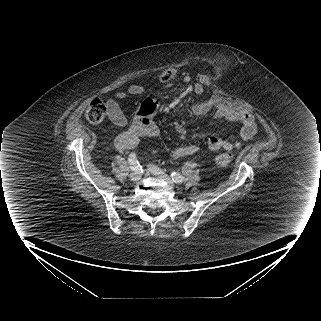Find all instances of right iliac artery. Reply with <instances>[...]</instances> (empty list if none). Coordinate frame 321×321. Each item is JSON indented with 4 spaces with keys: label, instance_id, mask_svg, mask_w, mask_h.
I'll return each mask as SVG.
<instances>
[{
    "label": "right iliac artery",
    "instance_id": "82829eb1",
    "mask_svg": "<svg viewBox=\"0 0 321 321\" xmlns=\"http://www.w3.org/2000/svg\"><path fill=\"white\" fill-rule=\"evenodd\" d=\"M128 163L130 165V168L133 171H140L141 170L140 164H139V162H138V160L136 158V155L134 153H131L129 155Z\"/></svg>",
    "mask_w": 321,
    "mask_h": 321
}]
</instances>
